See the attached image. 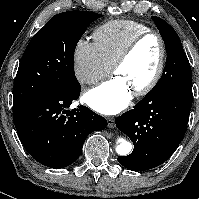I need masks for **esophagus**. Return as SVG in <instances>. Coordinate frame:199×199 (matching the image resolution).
<instances>
[{
	"mask_svg": "<svg viewBox=\"0 0 199 199\" xmlns=\"http://www.w3.org/2000/svg\"><path fill=\"white\" fill-rule=\"evenodd\" d=\"M107 124H108L109 128H114L115 127V119L113 117H108Z\"/></svg>",
	"mask_w": 199,
	"mask_h": 199,
	"instance_id": "esophagus-1",
	"label": "esophagus"
}]
</instances>
